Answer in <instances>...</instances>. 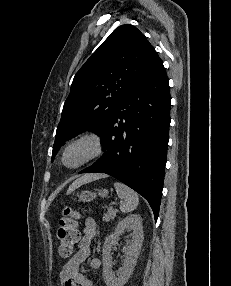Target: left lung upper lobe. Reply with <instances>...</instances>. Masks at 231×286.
Segmentation results:
<instances>
[{"label":"left lung upper lobe","mask_w":231,"mask_h":286,"mask_svg":"<svg viewBox=\"0 0 231 286\" xmlns=\"http://www.w3.org/2000/svg\"><path fill=\"white\" fill-rule=\"evenodd\" d=\"M154 47L134 26L116 28L76 73L63 106L52 152L90 130L100 134L122 97L154 68Z\"/></svg>","instance_id":"5c2ea615"}]
</instances>
